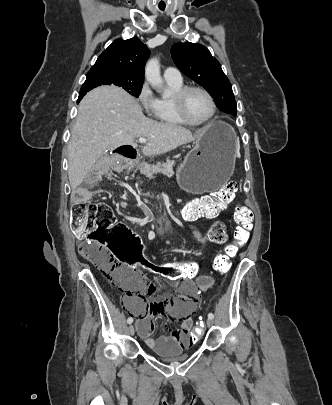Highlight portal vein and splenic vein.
<instances>
[{
  "mask_svg": "<svg viewBox=\"0 0 332 405\" xmlns=\"http://www.w3.org/2000/svg\"><path fill=\"white\" fill-rule=\"evenodd\" d=\"M138 141H139L140 143H142V144H145V143L147 142V139L140 137V138L138 139Z\"/></svg>",
  "mask_w": 332,
  "mask_h": 405,
  "instance_id": "18ae733b",
  "label": "portal vein and splenic vein"
}]
</instances>
